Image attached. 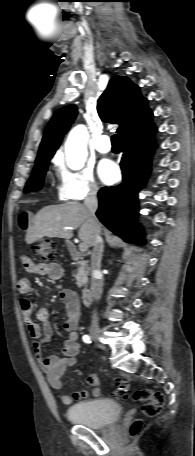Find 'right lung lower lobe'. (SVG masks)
I'll list each match as a JSON object with an SVG mask.
<instances>
[{
	"mask_svg": "<svg viewBox=\"0 0 195 456\" xmlns=\"http://www.w3.org/2000/svg\"><path fill=\"white\" fill-rule=\"evenodd\" d=\"M153 123L122 139L120 162L123 182L118 186L103 187L99 193L96 215L112 232L125 241L144 243L141 229L133 225L138 216L137 195L145 185L149 161L155 147Z\"/></svg>",
	"mask_w": 195,
	"mask_h": 456,
	"instance_id": "obj_1",
	"label": "right lung lower lobe"
}]
</instances>
